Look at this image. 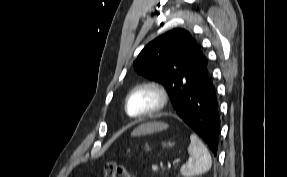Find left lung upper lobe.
<instances>
[{
	"mask_svg": "<svg viewBox=\"0 0 287 177\" xmlns=\"http://www.w3.org/2000/svg\"><path fill=\"white\" fill-rule=\"evenodd\" d=\"M133 65L139 74L162 83L176 108L206 69L207 59L191 34L178 28L147 44Z\"/></svg>",
	"mask_w": 287,
	"mask_h": 177,
	"instance_id": "obj_1",
	"label": "left lung upper lobe"
}]
</instances>
